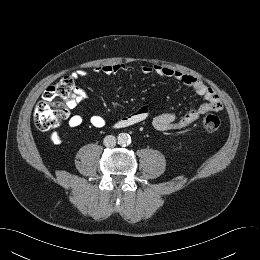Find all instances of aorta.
<instances>
[{
  "label": "aorta",
  "instance_id": "762f6f07",
  "mask_svg": "<svg viewBox=\"0 0 260 260\" xmlns=\"http://www.w3.org/2000/svg\"><path fill=\"white\" fill-rule=\"evenodd\" d=\"M120 146H128L131 144V136L127 133H120L117 137Z\"/></svg>",
  "mask_w": 260,
  "mask_h": 260
}]
</instances>
